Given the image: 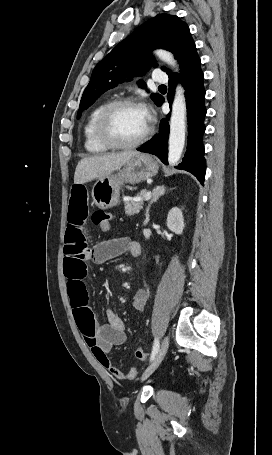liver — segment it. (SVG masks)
I'll list each match as a JSON object with an SVG mask.
<instances>
[{
    "instance_id": "obj_1",
    "label": "liver",
    "mask_w": 272,
    "mask_h": 455,
    "mask_svg": "<svg viewBox=\"0 0 272 455\" xmlns=\"http://www.w3.org/2000/svg\"><path fill=\"white\" fill-rule=\"evenodd\" d=\"M137 151H127L109 155H98L81 159L74 174V184H83L101 179L120 169Z\"/></svg>"
}]
</instances>
